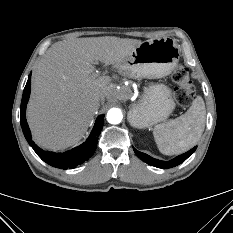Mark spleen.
Listing matches in <instances>:
<instances>
[{"label":"spleen","mask_w":233,"mask_h":233,"mask_svg":"<svg viewBox=\"0 0 233 233\" xmlns=\"http://www.w3.org/2000/svg\"><path fill=\"white\" fill-rule=\"evenodd\" d=\"M205 121V104L202 97L198 96L185 114L155 126L153 136L159 151L165 155L188 151L201 138Z\"/></svg>","instance_id":"obj_1"}]
</instances>
